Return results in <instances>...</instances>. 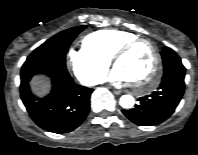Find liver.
<instances>
[{"mask_svg": "<svg viewBox=\"0 0 198 155\" xmlns=\"http://www.w3.org/2000/svg\"><path fill=\"white\" fill-rule=\"evenodd\" d=\"M32 90L37 95H44L49 91V83H47L45 80L36 77L31 82Z\"/></svg>", "mask_w": 198, "mask_h": 155, "instance_id": "liver-1", "label": "liver"}]
</instances>
